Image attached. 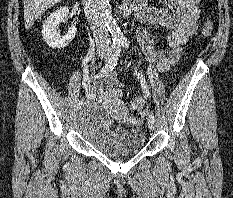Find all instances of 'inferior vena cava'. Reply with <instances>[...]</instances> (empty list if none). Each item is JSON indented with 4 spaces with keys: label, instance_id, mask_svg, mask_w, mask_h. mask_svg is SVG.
Segmentation results:
<instances>
[{
    "label": "inferior vena cava",
    "instance_id": "obj_1",
    "mask_svg": "<svg viewBox=\"0 0 233 198\" xmlns=\"http://www.w3.org/2000/svg\"><path fill=\"white\" fill-rule=\"evenodd\" d=\"M83 6L95 38L97 50L109 52L111 50V39L103 16L102 0H83Z\"/></svg>",
    "mask_w": 233,
    "mask_h": 198
}]
</instances>
